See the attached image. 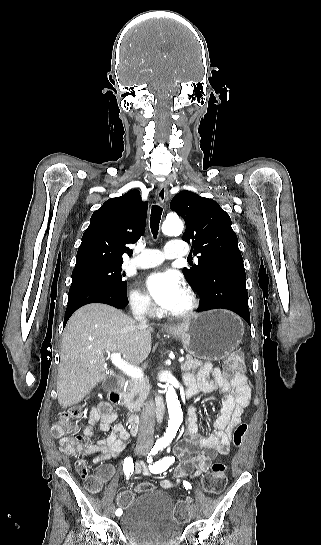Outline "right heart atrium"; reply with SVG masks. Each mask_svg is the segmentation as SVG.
I'll list each match as a JSON object with an SVG mask.
<instances>
[{"label": "right heart atrium", "mask_w": 321, "mask_h": 545, "mask_svg": "<svg viewBox=\"0 0 321 545\" xmlns=\"http://www.w3.org/2000/svg\"><path fill=\"white\" fill-rule=\"evenodd\" d=\"M128 300L130 308L136 314L144 317H152L155 314L154 306L145 294L133 290L129 293Z\"/></svg>", "instance_id": "obj_1"}]
</instances>
